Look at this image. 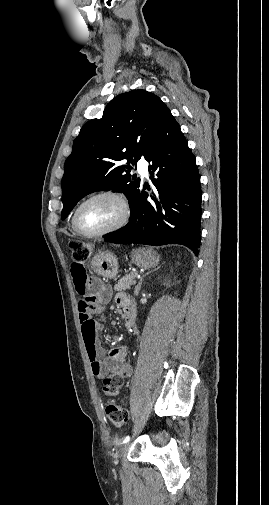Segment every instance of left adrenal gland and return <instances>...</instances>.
<instances>
[{"mask_svg": "<svg viewBox=\"0 0 269 505\" xmlns=\"http://www.w3.org/2000/svg\"><path fill=\"white\" fill-rule=\"evenodd\" d=\"M159 268H160V267H157V268H155L154 270H158ZM152 271H153V270H151V271L147 272L146 274H144V275L141 277V279L139 280V282H138L137 286L135 287V291H134L135 296H138V294H139V292H140V290H141V286H142V282H143L144 277H145V276H147L148 274H150Z\"/></svg>", "mask_w": 269, "mask_h": 505, "instance_id": "1", "label": "left adrenal gland"}]
</instances>
